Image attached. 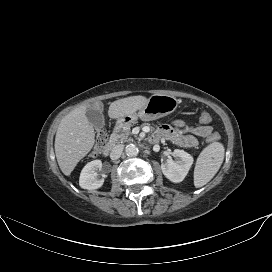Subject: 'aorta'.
<instances>
[{
	"label": "aorta",
	"instance_id": "aorta-1",
	"mask_svg": "<svg viewBox=\"0 0 272 272\" xmlns=\"http://www.w3.org/2000/svg\"><path fill=\"white\" fill-rule=\"evenodd\" d=\"M125 152L128 156H136L139 152L138 147L134 144H128L125 148Z\"/></svg>",
	"mask_w": 272,
	"mask_h": 272
}]
</instances>
